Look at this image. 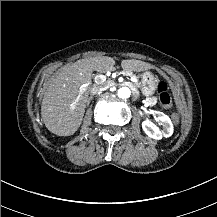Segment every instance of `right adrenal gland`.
<instances>
[{
  "label": "right adrenal gland",
  "mask_w": 217,
  "mask_h": 217,
  "mask_svg": "<svg viewBox=\"0 0 217 217\" xmlns=\"http://www.w3.org/2000/svg\"><path fill=\"white\" fill-rule=\"evenodd\" d=\"M92 99H93V97H92V96L88 98V100H87V105H89V104H90V101H91Z\"/></svg>",
  "instance_id": "obj_1"
}]
</instances>
